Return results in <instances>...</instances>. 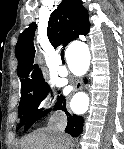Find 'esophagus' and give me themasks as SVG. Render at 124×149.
<instances>
[{
    "label": "esophagus",
    "instance_id": "obj_1",
    "mask_svg": "<svg viewBox=\"0 0 124 149\" xmlns=\"http://www.w3.org/2000/svg\"><path fill=\"white\" fill-rule=\"evenodd\" d=\"M75 87H76V89H78V90L81 89V88H82V83H81L80 81L77 82Z\"/></svg>",
    "mask_w": 124,
    "mask_h": 149
}]
</instances>
